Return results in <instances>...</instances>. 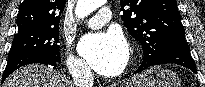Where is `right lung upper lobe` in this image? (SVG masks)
<instances>
[{"mask_svg":"<svg viewBox=\"0 0 205 87\" xmlns=\"http://www.w3.org/2000/svg\"><path fill=\"white\" fill-rule=\"evenodd\" d=\"M66 0H24L17 15L18 32L30 29L59 28Z\"/></svg>","mask_w":205,"mask_h":87,"instance_id":"right-lung-upper-lobe-1","label":"right lung upper lobe"}]
</instances>
